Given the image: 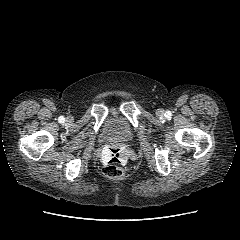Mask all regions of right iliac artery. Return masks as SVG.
<instances>
[{
    "mask_svg": "<svg viewBox=\"0 0 240 240\" xmlns=\"http://www.w3.org/2000/svg\"><path fill=\"white\" fill-rule=\"evenodd\" d=\"M64 117L63 116H61V117H59V122H64Z\"/></svg>",
    "mask_w": 240,
    "mask_h": 240,
    "instance_id": "1",
    "label": "right iliac artery"
}]
</instances>
